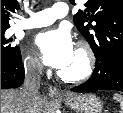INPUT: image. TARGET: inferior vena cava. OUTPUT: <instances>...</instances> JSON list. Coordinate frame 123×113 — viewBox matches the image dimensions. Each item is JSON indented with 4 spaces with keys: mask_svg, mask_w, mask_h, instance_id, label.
<instances>
[{
    "mask_svg": "<svg viewBox=\"0 0 123 113\" xmlns=\"http://www.w3.org/2000/svg\"><path fill=\"white\" fill-rule=\"evenodd\" d=\"M43 66L38 62H32L25 68V81L21 89L22 97L28 111L26 113H33L32 105L39 97L40 79Z\"/></svg>",
    "mask_w": 123,
    "mask_h": 113,
    "instance_id": "1",
    "label": "inferior vena cava"
}]
</instances>
